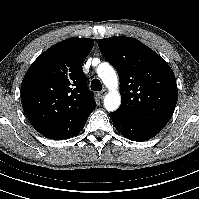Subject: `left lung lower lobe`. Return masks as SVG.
<instances>
[{"label": "left lung lower lobe", "instance_id": "obj_1", "mask_svg": "<svg viewBox=\"0 0 199 199\" xmlns=\"http://www.w3.org/2000/svg\"><path fill=\"white\" fill-rule=\"evenodd\" d=\"M115 128L126 138L133 141H145L157 135L161 129L136 121L129 115L116 110L110 113Z\"/></svg>", "mask_w": 199, "mask_h": 199}]
</instances>
